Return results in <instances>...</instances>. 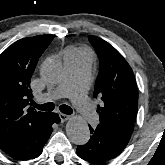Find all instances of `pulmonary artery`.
Returning a JSON list of instances; mask_svg holds the SVG:
<instances>
[{
	"mask_svg": "<svg viewBox=\"0 0 165 165\" xmlns=\"http://www.w3.org/2000/svg\"><path fill=\"white\" fill-rule=\"evenodd\" d=\"M64 64L67 69L65 80L55 90L45 94L41 100L51 101L69 97L83 119L89 124H96L98 116L86 96L91 70L90 57L87 55L65 56Z\"/></svg>",
	"mask_w": 165,
	"mask_h": 165,
	"instance_id": "obj_1",
	"label": "pulmonary artery"
}]
</instances>
